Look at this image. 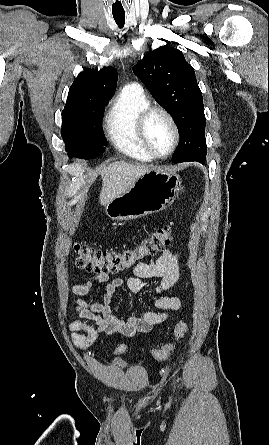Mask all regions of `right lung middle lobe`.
<instances>
[{"mask_svg": "<svg viewBox=\"0 0 269 445\" xmlns=\"http://www.w3.org/2000/svg\"><path fill=\"white\" fill-rule=\"evenodd\" d=\"M107 103L64 108L61 136L69 157L91 159L105 151L101 118Z\"/></svg>", "mask_w": 269, "mask_h": 445, "instance_id": "right-lung-middle-lobe-1", "label": "right lung middle lobe"}]
</instances>
